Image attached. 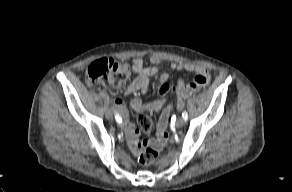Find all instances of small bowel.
<instances>
[{
  "mask_svg": "<svg viewBox=\"0 0 292 192\" xmlns=\"http://www.w3.org/2000/svg\"><path fill=\"white\" fill-rule=\"evenodd\" d=\"M131 68L132 71L136 74V77L129 85H127L123 89L124 95H130L138 91L141 93H146L149 88L150 77L156 75L165 67L159 57L152 56L150 58V66L145 67L141 58H134L132 60ZM168 68L175 71L195 72L196 76L194 77L193 81L190 82L188 85H185L182 80H180L178 83L171 84L170 82H167L169 80V74L167 72H162L159 77L160 81L162 82V84L160 85V88L162 90L159 92V99L147 105H143L142 101L138 98L134 99L131 102V106L135 111H147L149 113H153L165 106L168 99L170 100V102L167 104V107L169 109L167 107H164L160 114V119L158 120L156 125V130L158 134L154 136L155 140L146 139L140 141V131H143V129L136 128L128 121L127 110L122 100L119 98L116 100L117 110L119 111L122 119L121 122H119V126L126 135L130 149L135 154H139L146 145H154L155 148L158 150L163 149L165 146L164 142L167 141L169 138L167 127L172 116V112L170 109H172L176 105H180L186 96L202 87H205L210 81V73L208 69L203 65L173 62L168 65ZM166 88L167 90L165 92L164 90ZM166 93L169 95L168 99L166 97ZM150 129L151 126L146 132H149Z\"/></svg>",
  "mask_w": 292,
  "mask_h": 192,
  "instance_id": "small-bowel-1",
  "label": "small bowel"
}]
</instances>
